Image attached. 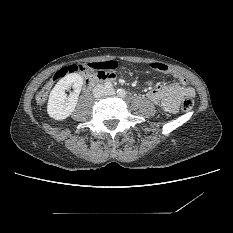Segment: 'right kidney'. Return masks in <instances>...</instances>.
Returning <instances> with one entry per match:
<instances>
[{
  "instance_id": "right-kidney-1",
  "label": "right kidney",
  "mask_w": 233,
  "mask_h": 233,
  "mask_svg": "<svg viewBox=\"0 0 233 233\" xmlns=\"http://www.w3.org/2000/svg\"><path fill=\"white\" fill-rule=\"evenodd\" d=\"M83 85V78L80 74L70 73L57 82L52 89L48 104V115L55 120H64L74 111L79 94ZM73 88L74 91L69 96L66 90Z\"/></svg>"
}]
</instances>
